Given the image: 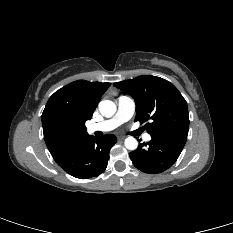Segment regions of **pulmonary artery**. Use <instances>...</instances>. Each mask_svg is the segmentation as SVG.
Instances as JSON below:
<instances>
[{
	"instance_id": "pulmonary-artery-1",
	"label": "pulmonary artery",
	"mask_w": 233,
	"mask_h": 233,
	"mask_svg": "<svg viewBox=\"0 0 233 233\" xmlns=\"http://www.w3.org/2000/svg\"><path fill=\"white\" fill-rule=\"evenodd\" d=\"M117 112L114 117L108 120H104L98 123H93L89 125L88 131L93 132H108L117 128L123 122L128 121L134 114L135 103L129 96H120L117 100ZM145 141L151 140L150 134L144 135Z\"/></svg>"
}]
</instances>
